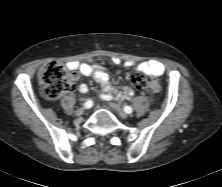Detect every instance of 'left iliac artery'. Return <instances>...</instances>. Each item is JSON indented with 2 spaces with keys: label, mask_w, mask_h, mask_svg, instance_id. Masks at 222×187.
Here are the masks:
<instances>
[{
  "label": "left iliac artery",
  "mask_w": 222,
  "mask_h": 187,
  "mask_svg": "<svg viewBox=\"0 0 222 187\" xmlns=\"http://www.w3.org/2000/svg\"><path fill=\"white\" fill-rule=\"evenodd\" d=\"M103 98H104L105 100H110V99H112V96H110V95H105V96H103ZM124 111H125L126 113L130 114V113L133 112V109H132L130 106H125V107H124Z\"/></svg>",
  "instance_id": "1"
}]
</instances>
